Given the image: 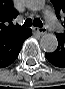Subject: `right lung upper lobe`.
I'll use <instances>...</instances> for the list:
<instances>
[{"label":"right lung upper lobe","mask_w":65,"mask_h":89,"mask_svg":"<svg viewBox=\"0 0 65 89\" xmlns=\"http://www.w3.org/2000/svg\"><path fill=\"white\" fill-rule=\"evenodd\" d=\"M17 15L12 0H0V38L18 34L25 29L12 24V19L16 18Z\"/></svg>","instance_id":"1"}]
</instances>
